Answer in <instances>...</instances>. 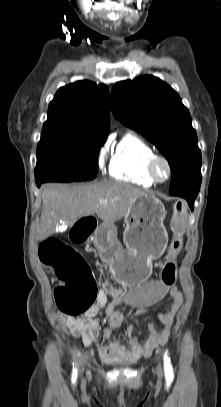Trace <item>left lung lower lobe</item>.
<instances>
[{"mask_svg": "<svg viewBox=\"0 0 221 407\" xmlns=\"http://www.w3.org/2000/svg\"><path fill=\"white\" fill-rule=\"evenodd\" d=\"M202 177L191 180L170 191V195L183 197L187 200L191 210L194 208V201L198 195Z\"/></svg>", "mask_w": 221, "mask_h": 407, "instance_id": "left-lung-lower-lobe-1", "label": "left lung lower lobe"}]
</instances>
